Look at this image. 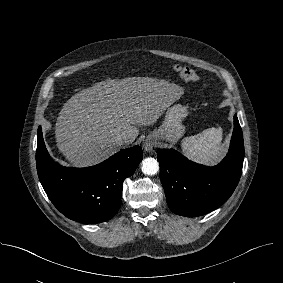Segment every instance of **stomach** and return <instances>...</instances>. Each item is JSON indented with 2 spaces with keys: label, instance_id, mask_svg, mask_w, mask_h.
I'll use <instances>...</instances> for the list:
<instances>
[{
  "label": "stomach",
  "instance_id": "1",
  "mask_svg": "<svg viewBox=\"0 0 283 283\" xmlns=\"http://www.w3.org/2000/svg\"><path fill=\"white\" fill-rule=\"evenodd\" d=\"M187 113V108L181 104L168 107L162 124L152 131L148 138L155 141L165 140L171 144L176 143L185 133L182 121L187 116Z\"/></svg>",
  "mask_w": 283,
  "mask_h": 283
}]
</instances>
